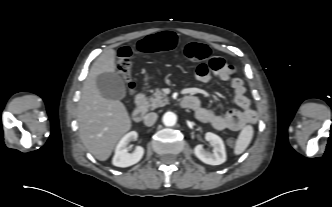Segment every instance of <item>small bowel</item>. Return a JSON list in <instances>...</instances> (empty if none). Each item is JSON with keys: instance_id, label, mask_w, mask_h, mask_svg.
I'll return each instance as SVG.
<instances>
[{"instance_id": "obj_1", "label": "small bowel", "mask_w": 332, "mask_h": 207, "mask_svg": "<svg viewBox=\"0 0 332 207\" xmlns=\"http://www.w3.org/2000/svg\"><path fill=\"white\" fill-rule=\"evenodd\" d=\"M196 79L203 83L211 82L214 78L229 82L234 89V101L239 109H231L224 114H218L210 108L202 106L200 100L194 97L191 109L197 120L211 125L218 131L241 129L246 124L255 123L257 114L245 95L243 81L235 75V68L227 64L222 58L215 57L205 64H199L195 70Z\"/></svg>"}]
</instances>
